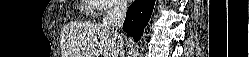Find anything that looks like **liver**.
<instances>
[{
    "label": "liver",
    "instance_id": "obj_1",
    "mask_svg": "<svg viewBox=\"0 0 249 57\" xmlns=\"http://www.w3.org/2000/svg\"><path fill=\"white\" fill-rule=\"evenodd\" d=\"M63 57H118L122 40L99 23L72 22L61 31ZM121 36V35H120ZM95 52H98L95 53Z\"/></svg>",
    "mask_w": 249,
    "mask_h": 57
}]
</instances>
